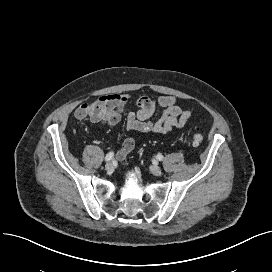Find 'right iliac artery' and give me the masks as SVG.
<instances>
[{
	"label": "right iliac artery",
	"mask_w": 272,
	"mask_h": 272,
	"mask_svg": "<svg viewBox=\"0 0 272 272\" xmlns=\"http://www.w3.org/2000/svg\"><path fill=\"white\" fill-rule=\"evenodd\" d=\"M114 157V153L113 152H109L106 157H105V161H111Z\"/></svg>",
	"instance_id": "obj_1"
}]
</instances>
